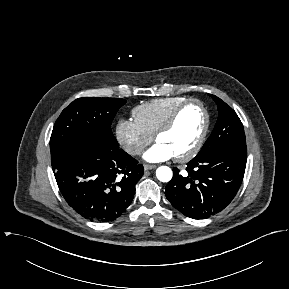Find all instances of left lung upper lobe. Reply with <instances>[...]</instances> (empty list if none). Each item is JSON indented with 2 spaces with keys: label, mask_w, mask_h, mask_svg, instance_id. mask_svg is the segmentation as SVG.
I'll return each mask as SVG.
<instances>
[{
  "label": "left lung upper lobe",
  "mask_w": 289,
  "mask_h": 289,
  "mask_svg": "<svg viewBox=\"0 0 289 289\" xmlns=\"http://www.w3.org/2000/svg\"><path fill=\"white\" fill-rule=\"evenodd\" d=\"M218 108L217 123L196 158L229 146L246 147L244 128L235 111L217 96L211 95Z\"/></svg>",
  "instance_id": "5c2ea615"
}]
</instances>
